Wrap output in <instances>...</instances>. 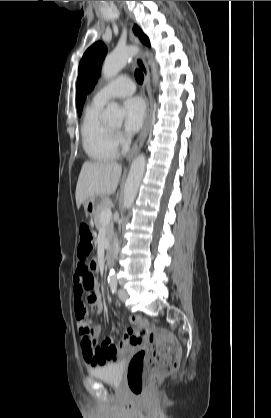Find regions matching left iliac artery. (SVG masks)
<instances>
[{
    "label": "left iliac artery",
    "mask_w": 271,
    "mask_h": 418,
    "mask_svg": "<svg viewBox=\"0 0 271 418\" xmlns=\"http://www.w3.org/2000/svg\"><path fill=\"white\" fill-rule=\"evenodd\" d=\"M110 285V289L112 291V293H116L117 291V282L116 281H110L109 282Z\"/></svg>",
    "instance_id": "44dca946"
}]
</instances>
